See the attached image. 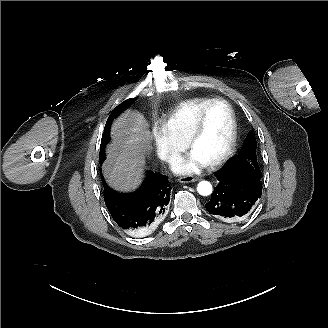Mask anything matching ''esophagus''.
<instances>
[{
	"instance_id": "esophagus-1",
	"label": "esophagus",
	"mask_w": 328,
	"mask_h": 328,
	"mask_svg": "<svg viewBox=\"0 0 328 328\" xmlns=\"http://www.w3.org/2000/svg\"><path fill=\"white\" fill-rule=\"evenodd\" d=\"M197 180L198 178L196 176H191V175L183 176L178 179L180 183H190V182H195Z\"/></svg>"
}]
</instances>
